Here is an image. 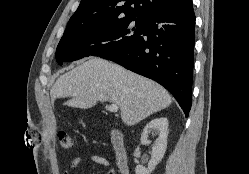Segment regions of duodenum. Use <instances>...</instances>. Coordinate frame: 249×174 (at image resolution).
<instances>
[{"instance_id": "duodenum-1", "label": "duodenum", "mask_w": 249, "mask_h": 174, "mask_svg": "<svg viewBox=\"0 0 249 174\" xmlns=\"http://www.w3.org/2000/svg\"><path fill=\"white\" fill-rule=\"evenodd\" d=\"M111 144L115 153L116 164L121 174H129L128 155L124 146L122 132L111 125Z\"/></svg>"}]
</instances>
